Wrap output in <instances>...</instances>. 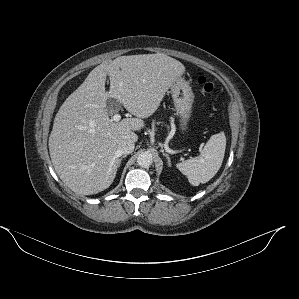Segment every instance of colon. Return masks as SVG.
<instances>
[{
	"label": "colon",
	"mask_w": 299,
	"mask_h": 299,
	"mask_svg": "<svg viewBox=\"0 0 299 299\" xmlns=\"http://www.w3.org/2000/svg\"><path fill=\"white\" fill-rule=\"evenodd\" d=\"M199 85L201 86L202 90L208 94H212L215 92V86L208 81L204 77H200L198 80Z\"/></svg>",
	"instance_id": "colon-1"
}]
</instances>
